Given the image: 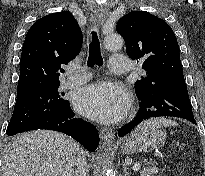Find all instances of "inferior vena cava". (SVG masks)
I'll return each instance as SVG.
<instances>
[{
    "label": "inferior vena cava",
    "instance_id": "602c4592",
    "mask_svg": "<svg viewBox=\"0 0 205 176\" xmlns=\"http://www.w3.org/2000/svg\"><path fill=\"white\" fill-rule=\"evenodd\" d=\"M77 169L75 171V176H87V162L85 159L84 151H81L75 163Z\"/></svg>",
    "mask_w": 205,
    "mask_h": 176
}]
</instances>
